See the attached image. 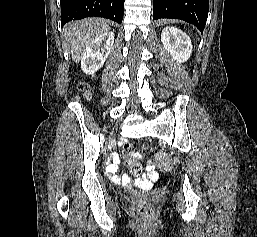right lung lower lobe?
Wrapping results in <instances>:
<instances>
[{"instance_id": "right-lung-lower-lobe-1", "label": "right lung lower lobe", "mask_w": 257, "mask_h": 237, "mask_svg": "<svg viewBox=\"0 0 257 237\" xmlns=\"http://www.w3.org/2000/svg\"><path fill=\"white\" fill-rule=\"evenodd\" d=\"M125 0H61V25L86 17H104L122 23Z\"/></svg>"}]
</instances>
